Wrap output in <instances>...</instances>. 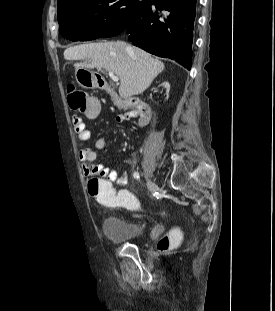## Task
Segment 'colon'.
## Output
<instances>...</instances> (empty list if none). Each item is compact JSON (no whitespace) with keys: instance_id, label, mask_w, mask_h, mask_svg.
I'll list each match as a JSON object with an SVG mask.
<instances>
[{"instance_id":"colon-1","label":"colon","mask_w":275,"mask_h":311,"mask_svg":"<svg viewBox=\"0 0 275 311\" xmlns=\"http://www.w3.org/2000/svg\"><path fill=\"white\" fill-rule=\"evenodd\" d=\"M69 106L80 112L81 117L89 120L90 117H96L100 113L101 108L96 97H86L83 91L69 87L67 95ZM89 193L95 197V202H103L107 204L115 203L118 206L134 209L138 206L134 198V190H116V184L110 183L109 178H102L101 175H94L88 185ZM179 235L175 231H171L160 238L157 247L159 251H168L177 244Z\"/></svg>"}]
</instances>
